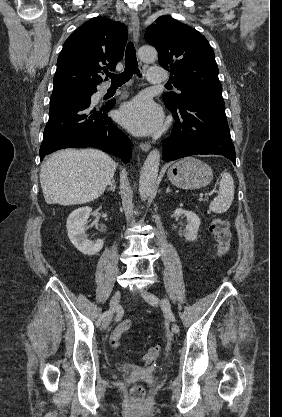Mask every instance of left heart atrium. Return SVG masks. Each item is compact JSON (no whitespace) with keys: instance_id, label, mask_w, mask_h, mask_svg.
Returning <instances> with one entry per match:
<instances>
[{"instance_id":"obj_1","label":"left heart atrium","mask_w":282,"mask_h":417,"mask_svg":"<svg viewBox=\"0 0 282 417\" xmlns=\"http://www.w3.org/2000/svg\"><path fill=\"white\" fill-rule=\"evenodd\" d=\"M120 120L135 132L149 133L160 127L162 113L148 97L139 96L123 106Z\"/></svg>"}]
</instances>
